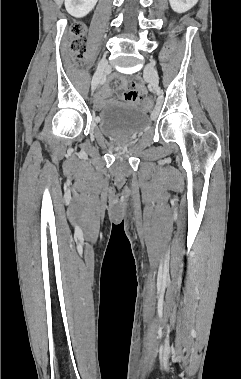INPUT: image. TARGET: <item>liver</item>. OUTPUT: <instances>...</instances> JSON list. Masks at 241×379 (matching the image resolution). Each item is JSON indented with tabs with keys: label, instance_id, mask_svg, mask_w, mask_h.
Masks as SVG:
<instances>
[{
	"label": "liver",
	"instance_id": "1",
	"mask_svg": "<svg viewBox=\"0 0 241 379\" xmlns=\"http://www.w3.org/2000/svg\"><path fill=\"white\" fill-rule=\"evenodd\" d=\"M56 2H58L59 4H61L62 0H56Z\"/></svg>",
	"mask_w": 241,
	"mask_h": 379
}]
</instances>
